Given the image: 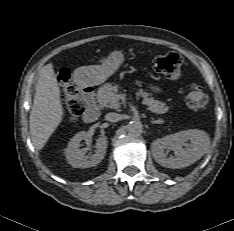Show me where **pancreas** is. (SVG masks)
I'll return each mask as SVG.
<instances>
[{"label":"pancreas","mask_w":234,"mask_h":231,"mask_svg":"<svg viewBox=\"0 0 234 231\" xmlns=\"http://www.w3.org/2000/svg\"><path fill=\"white\" fill-rule=\"evenodd\" d=\"M140 85V82H137ZM118 86L113 85L112 83H106L101 86L97 92V101L100 107H109L112 109H117L119 107L115 98L118 96ZM137 97H142V103L148 106V110L153 113L163 114L169 110V107L166 106L164 102L159 100H155L154 98L150 97V94L145 90L139 89L137 91Z\"/></svg>","instance_id":"cf45deb5"}]
</instances>
